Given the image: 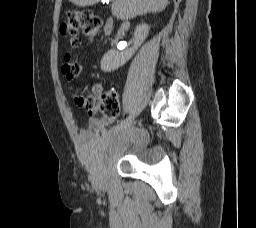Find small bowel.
<instances>
[{
    "instance_id": "1",
    "label": "small bowel",
    "mask_w": 256,
    "mask_h": 228,
    "mask_svg": "<svg viewBox=\"0 0 256 228\" xmlns=\"http://www.w3.org/2000/svg\"><path fill=\"white\" fill-rule=\"evenodd\" d=\"M91 93L95 97H99L102 94V86L100 84H94L91 87ZM114 121V118H93L89 121V129L87 131L82 132V136L86 137L91 131L101 132L110 125Z\"/></svg>"
}]
</instances>
